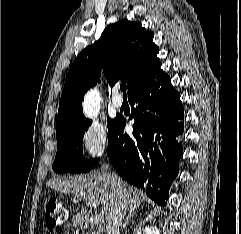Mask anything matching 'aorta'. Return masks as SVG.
Wrapping results in <instances>:
<instances>
[{
    "mask_svg": "<svg viewBox=\"0 0 241 234\" xmlns=\"http://www.w3.org/2000/svg\"><path fill=\"white\" fill-rule=\"evenodd\" d=\"M100 94L96 89L90 90L84 97L83 110L87 117L93 118L99 111Z\"/></svg>",
    "mask_w": 241,
    "mask_h": 234,
    "instance_id": "aorta-1",
    "label": "aorta"
}]
</instances>
